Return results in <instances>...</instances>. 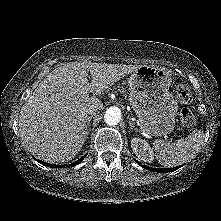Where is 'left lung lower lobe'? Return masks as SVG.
Masks as SVG:
<instances>
[{
	"mask_svg": "<svg viewBox=\"0 0 221 221\" xmlns=\"http://www.w3.org/2000/svg\"><path fill=\"white\" fill-rule=\"evenodd\" d=\"M141 165V164H140ZM143 168H146L148 170H151V171H156V172H161V173H164V172H171V171H175L177 170L178 168H180L181 166H178V167H174V168H164V169H155V168H149L147 166H142Z\"/></svg>",
	"mask_w": 221,
	"mask_h": 221,
	"instance_id": "1",
	"label": "left lung lower lobe"
}]
</instances>
